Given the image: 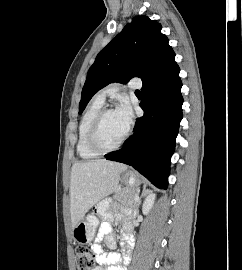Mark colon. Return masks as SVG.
Segmentation results:
<instances>
[{"instance_id":"5ec220e1","label":"colon","mask_w":242,"mask_h":270,"mask_svg":"<svg viewBox=\"0 0 242 270\" xmlns=\"http://www.w3.org/2000/svg\"><path fill=\"white\" fill-rule=\"evenodd\" d=\"M75 261L77 270H94L96 257L85 246H79L75 250Z\"/></svg>"}]
</instances>
